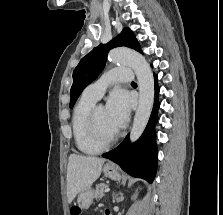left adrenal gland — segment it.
I'll return each instance as SVG.
<instances>
[{"label":"left adrenal gland","mask_w":223,"mask_h":215,"mask_svg":"<svg viewBox=\"0 0 223 215\" xmlns=\"http://www.w3.org/2000/svg\"><path fill=\"white\" fill-rule=\"evenodd\" d=\"M113 197H114L113 201H115V199H118V197H116V195H113Z\"/></svg>","instance_id":"1"}]
</instances>
